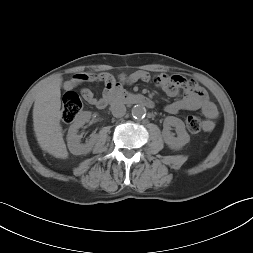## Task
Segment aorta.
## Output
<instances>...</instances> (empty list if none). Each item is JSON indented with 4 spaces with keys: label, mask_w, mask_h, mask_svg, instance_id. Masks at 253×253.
Listing matches in <instances>:
<instances>
[{
    "label": "aorta",
    "mask_w": 253,
    "mask_h": 253,
    "mask_svg": "<svg viewBox=\"0 0 253 253\" xmlns=\"http://www.w3.org/2000/svg\"><path fill=\"white\" fill-rule=\"evenodd\" d=\"M145 114H146V109L144 106L138 105V104L133 106V108H132L133 117L142 118L145 116Z\"/></svg>",
    "instance_id": "762f6f07"
}]
</instances>
